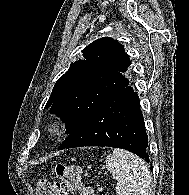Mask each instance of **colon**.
<instances>
[{
	"label": "colon",
	"mask_w": 189,
	"mask_h": 195,
	"mask_svg": "<svg viewBox=\"0 0 189 195\" xmlns=\"http://www.w3.org/2000/svg\"><path fill=\"white\" fill-rule=\"evenodd\" d=\"M57 183H51L47 179H41L37 183L39 195H82L83 170L79 167L60 163L56 167Z\"/></svg>",
	"instance_id": "1"
}]
</instances>
